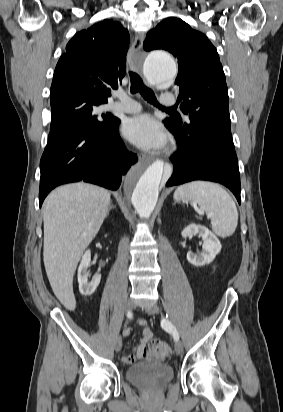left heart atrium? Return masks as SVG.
<instances>
[{"mask_svg": "<svg viewBox=\"0 0 283 412\" xmlns=\"http://www.w3.org/2000/svg\"><path fill=\"white\" fill-rule=\"evenodd\" d=\"M124 136L143 150H158L165 146L167 135L163 126L151 115L129 118L123 125Z\"/></svg>", "mask_w": 283, "mask_h": 412, "instance_id": "obj_1", "label": "left heart atrium"}]
</instances>
